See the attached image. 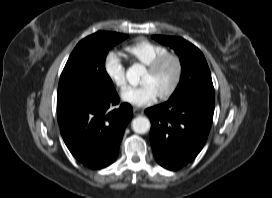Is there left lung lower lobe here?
<instances>
[{"label":"left lung lower lobe","mask_w":272,"mask_h":198,"mask_svg":"<svg viewBox=\"0 0 272 198\" xmlns=\"http://www.w3.org/2000/svg\"><path fill=\"white\" fill-rule=\"evenodd\" d=\"M214 105V91L200 90L145 110L151 121V147L162 167L177 170L198 155L212 125Z\"/></svg>","instance_id":"0a47b994"}]
</instances>
